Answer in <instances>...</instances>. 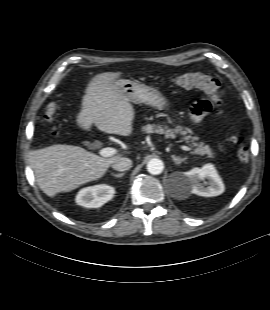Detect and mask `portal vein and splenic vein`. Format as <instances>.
I'll return each instance as SVG.
<instances>
[{
  "mask_svg": "<svg viewBox=\"0 0 270 310\" xmlns=\"http://www.w3.org/2000/svg\"><path fill=\"white\" fill-rule=\"evenodd\" d=\"M181 149L182 150H185V151H191V148L188 147V146H181ZM117 152V150L115 148H111V147H106V148H102L100 151H99V154L103 157H111L113 155H115Z\"/></svg>",
  "mask_w": 270,
  "mask_h": 310,
  "instance_id": "1",
  "label": "portal vein and splenic vein"
}]
</instances>
